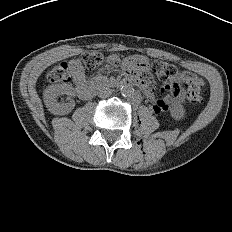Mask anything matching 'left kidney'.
<instances>
[{"label": "left kidney", "mask_w": 232, "mask_h": 232, "mask_svg": "<svg viewBox=\"0 0 232 232\" xmlns=\"http://www.w3.org/2000/svg\"><path fill=\"white\" fill-rule=\"evenodd\" d=\"M170 112L172 117L176 120H181L185 116V109L182 105H174Z\"/></svg>", "instance_id": "left-kidney-1"}]
</instances>
